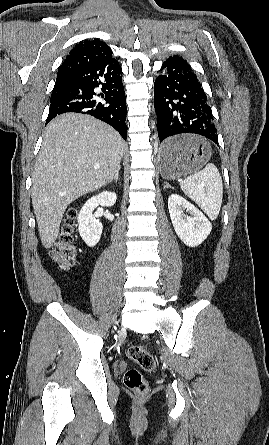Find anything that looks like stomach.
<instances>
[{"label": "stomach", "mask_w": 269, "mask_h": 445, "mask_svg": "<svg viewBox=\"0 0 269 445\" xmlns=\"http://www.w3.org/2000/svg\"><path fill=\"white\" fill-rule=\"evenodd\" d=\"M172 140L180 144L182 149L172 156H166L160 150V173L166 180H175L198 171L211 156L210 145L200 137L184 135Z\"/></svg>", "instance_id": "obj_1"}]
</instances>
